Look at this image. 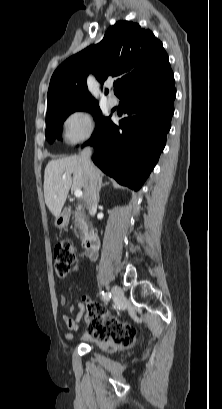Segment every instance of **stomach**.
Returning a JSON list of instances; mask_svg holds the SVG:
<instances>
[{
    "label": "stomach",
    "mask_w": 222,
    "mask_h": 409,
    "mask_svg": "<svg viewBox=\"0 0 222 409\" xmlns=\"http://www.w3.org/2000/svg\"><path fill=\"white\" fill-rule=\"evenodd\" d=\"M69 213L67 210H63L58 216L55 218V226L58 229H63L69 224Z\"/></svg>",
    "instance_id": "1"
}]
</instances>
